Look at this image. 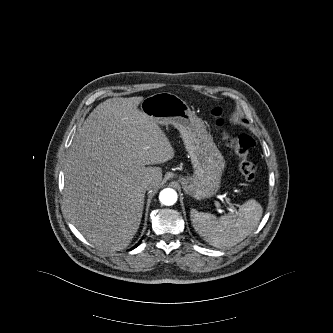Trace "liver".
<instances>
[{"label":"liver","mask_w":333,"mask_h":333,"mask_svg":"<svg viewBox=\"0 0 333 333\" xmlns=\"http://www.w3.org/2000/svg\"><path fill=\"white\" fill-rule=\"evenodd\" d=\"M143 97L112 98L87 117L69 149L65 209L81 234L104 251L126 248L143 213L144 182L158 187L174 157L157 123L138 110Z\"/></svg>","instance_id":"6515ba94"}]
</instances>
